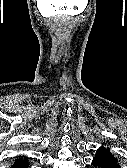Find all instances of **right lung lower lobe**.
<instances>
[{
  "mask_svg": "<svg viewBox=\"0 0 127 168\" xmlns=\"http://www.w3.org/2000/svg\"><path fill=\"white\" fill-rule=\"evenodd\" d=\"M12 168H28V163L26 160L18 159L14 162Z\"/></svg>",
  "mask_w": 127,
  "mask_h": 168,
  "instance_id": "obj_1",
  "label": "right lung lower lobe"
}]
</instances>
